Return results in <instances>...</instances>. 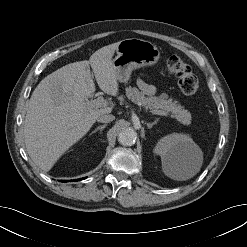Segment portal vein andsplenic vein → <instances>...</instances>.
<instances>
[{"label":"portal vein and splenic vein","mask_w":247,"mask_h":247,"mask_svg":"<svg viewBox=\"0 0 247 247\" xmlns=\"http://www.w3.org/2000/svg\"><path fill=\"white\" fill-rule=\"evenodd\" d=\"M89 105L96 107V108H101V107H107L108 106V101H106L102 96H99L98 98L94 100H87L86 101ZM152 114L155 115H161V116H166L167 113L161 111V110H154L151 111Z\"/></svg>","instance_id":"portal-vein-and-splenic-vein-1"}]
</instances>
